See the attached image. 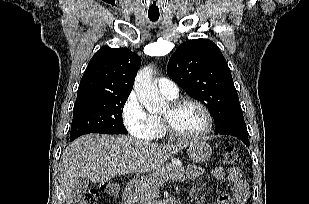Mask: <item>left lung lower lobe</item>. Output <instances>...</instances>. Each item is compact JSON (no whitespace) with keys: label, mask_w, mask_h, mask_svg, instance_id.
Here are the masks:
<instances>
[{"label":"left lung lower lobe","mask_w":309,"mask_h":204,"mask_svg":"<svg viewBox=\"0 0 309 204\" xmlns=\"http://www.w3.org/2000/svg\"><path fill=\"white\" fill-rule=\"evenodd\" d=\"M215 134L232 135L242 140L249 147L247 128L244 120L227 124L222 129L215 131Z\"/></svg>","instance_id":"left-lung-lower-lobe-1"}]
</instances>
